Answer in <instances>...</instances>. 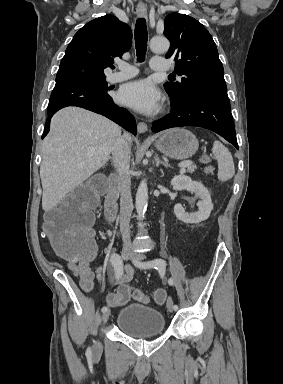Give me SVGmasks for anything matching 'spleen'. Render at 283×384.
<instances>
[{"mask_svg":"<svg viewBox=\"0 0 283 384\" xmlns=\"http://www.w3.org/2000/svg\"><path fill=\"white\" fill-rule=\"evenodd\" d=\"M212 152L218 162V180H221V182L231 180L235 174V168L229 150L221 142H214Z\"/></svg>","mask_w":283,"mask_h":384,"instance_id":"obj_1","label":"spleen"}]
</instances>
